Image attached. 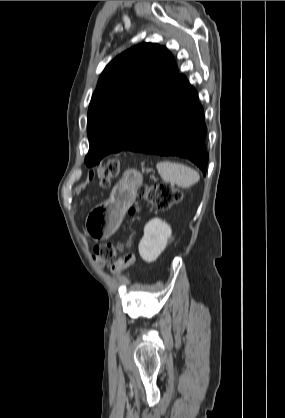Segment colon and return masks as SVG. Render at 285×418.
I'll use <instances>...</instances> for the list:
<instances>
[{
	"label": "colon",
	"mask_w": 285,
	"mask_h": 418,
	"mask_svg": "<svg viewBox=\"0 0 285 418\" xmlns=\"http://www.w3.org/2000/svg\"><path fill=\"white\" fill-rule=\"evenodd\" d=\"M119 164L116 160L108 161L103 167L90 172V180H99L102 186H108L113 177L117 176ZM139 195L145 199L151 206L160 209H168L177 205L182 197L180 190L172 188L165 183H158L154 185H145L139 188ZM139 210L138 206H133L129 213L135 215ZM130 241L123 244L102 243L95 247L93 251L94 260L100 264L112 262L115 260L118 251L123 248L130 247ZM134 255L131 253L124 257L117 267V271L124 270L132 264Z\"/></svg>",
	"instance_id": "obj_1"
}]
</instances>
